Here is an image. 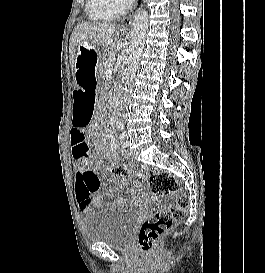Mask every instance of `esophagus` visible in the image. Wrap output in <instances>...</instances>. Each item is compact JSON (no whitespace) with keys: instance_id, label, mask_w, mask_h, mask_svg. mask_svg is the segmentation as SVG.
Listing matches in <instances>:
<instances>
[{"instance_id":"1","label":"esophagus","mask_w":265,"mask_h":273,"mask_svg":"<svg viewBox=\"0 0 265 273\" xmlns=\"http://www.w3.org/2000/svg\"><path fill=\"white\" fill-rule=\"evenodd\" d=\"M133 17H134V12H132L128 17L124 19L125 23L127 25H132Z\"/></svg>"}]
</instances>
